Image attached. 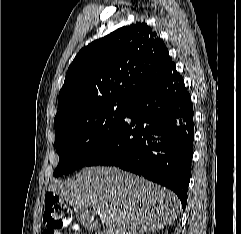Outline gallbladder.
<instances>
[{"label": "gallbladder", "mask_w": 241, "mask_h": 234, "mask_svg": "<svg viewBox=\"0 0 241 234\" xmlns=\"http://www.w3.org/2000/svg\"><path fill=\"white\" fill-rule=\"evenodd\" d=\"M78 219L85 224V226L89 229H92V222L89 213L85 210L76 211Z\"/></svg>", "instance_id": "obj_1"}]
</instances>
